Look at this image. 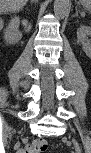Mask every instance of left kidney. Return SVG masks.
I'll list each match as a JSON object with an SVG mask.
<instances>
[{
  "instance_id": "obj_1",
  "label": "left kidney",
  "mask_w": 91,
  "mask_h": 153,
  "mask_svg": "<svg viewBox=\"0 0 91 153\" xmlns=\"http://www.w3.org/2000/svg\"><path fill=\"white\" fill-rule=\"evenodd\" d=\"M91 29L87 26H82L77 30V39L82 43L83 50L87 56H91V46L86 43V35L90 34Z\"/></svg>"
}]
</instances>
